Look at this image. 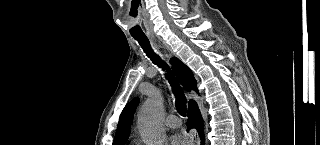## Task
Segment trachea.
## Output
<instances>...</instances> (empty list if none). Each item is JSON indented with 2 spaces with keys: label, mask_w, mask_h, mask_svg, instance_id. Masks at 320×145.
<instances>
[{
  "label": "trachea",
  "mask_w": 320,
  "mask_h": 145,
  "mask_svg": "<svg viewBox=\"0 0 320 145\" xmlns=\"http://www.w3.org/2000/svg\"><path fill=\"white\" fill-rule=\"evenodd\" d=\"M134 39L138 41L146 55L152 60L154 64L158 67L162 68L163 70H167L165 77L172 86L173 93L175 95V106L178 113L185 117L186 116V97L181 89V87L177 84L173 73L170 72L168 65L162 61V59L156 55L150 45V42L147 37L144 36H134Z\"/></svg>",
  "instance_id": "obj_1"
}]
</instances>
